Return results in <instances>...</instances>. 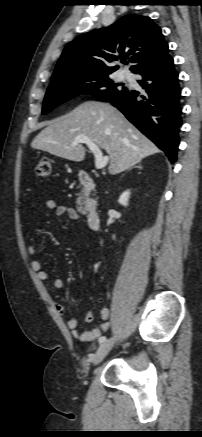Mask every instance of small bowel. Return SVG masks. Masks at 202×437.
<instances>
[{
	"label": "small bowel",
	"instance_id": "1",
	"mask_svg": "<svg viewBox=\"0 0 202 437\" xmlns=\"http://www.w3.org/2000/svg\"><path fill=\"white\" fill-rule=\"evenodd\" d=\"M46 207L50 210H54L55 215L58 217L66 216L71 220L80 219L79 213L71 207L65 205H58L56 201L49 199L46 201ZM28 251L32 256L36 255V249L33 245L28 247ZM31 268L34 271L36 277L41 281L48 280V273L43 270L42 262L38 258H33L31 261ZM52 285L55 289H61L64 285V282L61 278H55L52 282ZM56 309L59 313H65V306L61 303H56ZM99 316L101 318V323H99L96 327H94L90 331H80L78 329L79 320L77 317H70L67 320V326L71 330L72 336L81 341H94L96 340L102 332L107 331L110 327L109 323V310L107 308H101L99 310ZM84 321L90 323L94 320V314L91 310H86L84 312Z\"/></svg>",
	"mask_w": 202,
	"mask_h": 437
}]
</instances>
